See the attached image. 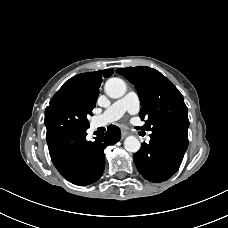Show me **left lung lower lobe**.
<instances>
[{"instance_id":"obj_1","label":"left lung lower lobe","mask_w":228,"mask_h":228,"mask_svg":"<svg viewBox=\"0 0 228 228\" xmlns=\"http://www.w3.org/2000/svg\"><path fill=\"white\" fill-rule=\"evenodd\" d=\"M150 137L149 144L142 143L133 159L145 179L162 182L179 169L188 147V130L160 128L152 131Z\"/></svg>"}]
</instances>
